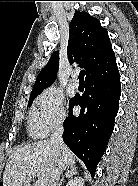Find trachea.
I'll use <instances>...</instances> for the list:
<instances>
[{
	"instance_id": "1",
	"label": "trachea",
	"mask_w": 138,
	"mask_h": 186,
	"mask_svg": "<svg viewBox=\"0 0 138 186\" xmlns=\"http://www.w3.org/2000/svg\"><path fill=\"white\" fill-rule=\"evenodd\" d=\"M84 75H85V72L84 70H81L80 73H79V81H84Z\"/></svg>"
}]
</instances>
